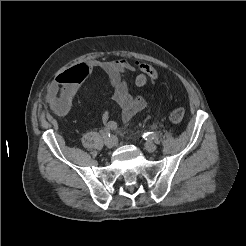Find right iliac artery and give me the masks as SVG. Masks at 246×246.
Masks as SVG:
<instances>
[{"label":"right iliac artery","instance_id":"obj_1","mask_svg":"<svg viewBox=\"0 0 246 246\" xmlns=\"http://www.w3.org/2000/svg\"><path fill=\"white\" fill-rule=\"evenodd\" d=\"M102 136H103V138H109L110 137V133L108 132V131H105V132H103L102 133Z\"/></svg>","mask_w":246,"mask_h":246}]
</instances>
